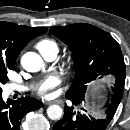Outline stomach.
I'll return each instance as SVG.
<instances>
[{
	"label": "stomach",
	"mask_w": 130,
	"mask_h": 130,
	"mask_svg": "<svg viewBox=\"0 0 130 130\" xmlns=\"http://www.w3.org/2000/svg\"><path fill=\"white\" fill-rule=\"evenodd\" d=\"M101 99H102V96H97V100L100 102L101 101ZM98 108V105H96L95 103H92L90 106H89V109H90V111H94V110H96Z\"/></svg>",
	"instance_id": "stomach-1"
}]
</instances>
